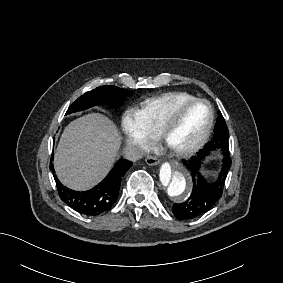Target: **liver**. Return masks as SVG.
Segmentation results:
<instances>
[{
    "instance_id": "liver-1",
    "label": "liver",
    "mask_w": 283,
    "mask_h": 283,
    "mask_svg": "<svg viewBox=\"0 0 283 283\" xmlns=\"http://www.w3.org/2000/svg\"><path fill=\"white\" fill-rule=\"evenodd\" d=\"M121 141L115 123L100 113L70 122L55 152L54 168L60 182L78 191L93 188L112 169Z\"/></svg>"
}]
</instances>
